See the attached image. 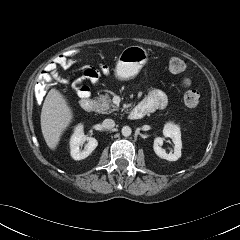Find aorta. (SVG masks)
Instances as JSON below:
<instances>
[{
  "label": "aorta",
  "mask_w": 240,
  "mask_h": 240,
  "mask_svg": "<svg viewBox=\"0 0 240 240\" xmlns=\"http://www.w3.org/2000/svg\"><path fill=\"white\" fill-rule=\"evenodd\" d=\"M121 132H122L123 136L128 137V136L131 135L132 130H131V128L129 126H124V127H122Z\"/></svg>",
  "instance_id": "762f6f07"
}]
</instances>
